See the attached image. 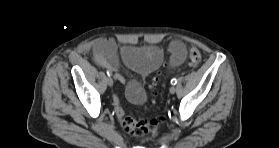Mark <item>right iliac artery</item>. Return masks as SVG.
<instances>
[{"mask_svg":"<svg viewBox=\"0 0 279 148\" xmlns=\"http://www.w3.org/2000/svg\"><path fill=\"white\" fill-rule=\"evenodd\" d=\"M111 74H112V73H111L110 71H107V75H108V76H111Z\"/></svg>","mask_w":279,"mask_h":148,"instance_id":"1","label":"right iliac artery"}]
</instances>
